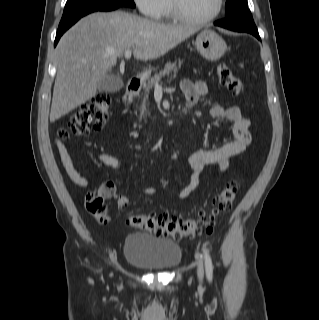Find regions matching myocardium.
Returning <instances> with one entry per match:
<instances>
[{"label": "myocardium", "instance_id": "obj_1", "mask_svg": "<svg viewBox=\"0 0 319 320\" xmlns=\"http://www.w3.org/2000/svg\"><path fill=\"white\" fill-rule=\"evenodd\" d=\"M170 13L172 17L181 23L201 25L214 21L222 12L224 7V0H218L216 10L208 17L193 18L186 15L179 7L177 0H169Z\"/></svg>", "mask_w": 319, "mask_h": 320}]
</instances>
